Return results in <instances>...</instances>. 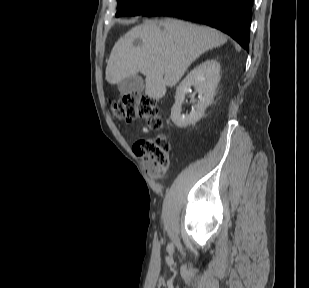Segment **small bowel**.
Returning a JSON list of instances; mask_svg holds the SVG:
<instances>
[{
  "label": "small bowel",
  "mask_w": 309,
  "mask_h": 288,
  "mask_svg": "<svg viewBox=\"0 0 309 288\" xmlns=\"http://www.w3.org/2000/svg\"><path fill=\"white\" fill-rule=\"evenodd\" d=\"M142 132H143V133H147V129L143 128V129H142Z\"/></svg>",
  "instance_id": "c3829d8e"
}]
</instances>
